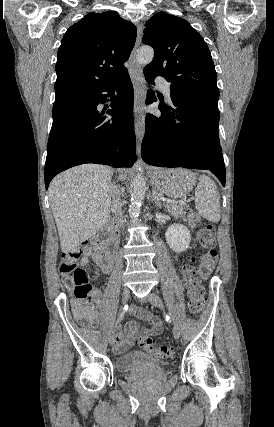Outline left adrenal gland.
I'll use <instances>...</instances> for the list:
<instances>
[{
    "label": "left adrenal gland",
    "mask_w": 274,
    "mask_h": 427,
    "mask_svg": "<svg viewBox=\"0 0 274 427\" xmlns=\"http://www.w3.org/2000/svg\"><path fill=\"white\" fill-rule=\"evenodd\" d=\"M151 198H152L151 202H154V204H156L157 208H161L162 202L158 196V192H157L156 188H153Z\"/></svg>",
    "instance_id": "left-adrenal-gland-1"
}]
</instances>
